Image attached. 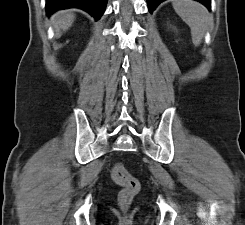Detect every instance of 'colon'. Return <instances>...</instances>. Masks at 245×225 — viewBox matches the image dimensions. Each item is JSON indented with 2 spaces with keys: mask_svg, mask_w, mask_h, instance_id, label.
Segmentation results:
<instances>
[{
  "mask_svg": "<svg viewBox=\"0 0 245 225\" xmlns=\"http://www.w3.org/2000/svg\"><path fill=\"white\" fill-rule=\"evenodd\" d=\"M111 176L114 182L121 186V190L118 194V205L122 210H127L140 191V183L128 172L121 162H117L113 165Z\"/></svg>",
  "mask_w": 245,
  "mask_h": 225,
  "instance_id": "5ec220e1",
  "label": "colon"
}]
</instances>
